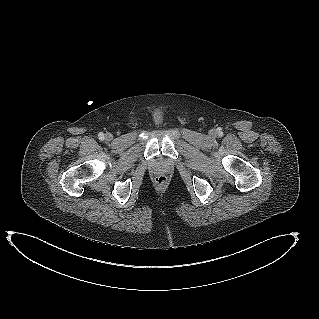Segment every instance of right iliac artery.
Returning a JSON list of instances; mask_svg holds the SVG:
<instances>
[{"mask_svg":"<svg viewBox=\"0 0 319 319\" xmlns=\"http://www.w3.org/2000/svg\"><path fill=\"white\" fill-rule=\"evenodd\" d=\"M98 137H99V139H103V138H104V133L100 132V133L98 134Z\"/></svg>","mask_w":319,"mask_h":319,"instance_id":"1","label":"right iliac artery"}]
</instances>
